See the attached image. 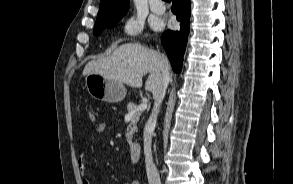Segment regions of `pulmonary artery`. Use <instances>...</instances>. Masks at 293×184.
<instances>
[{
  "label": "pulmonary artery",
  "instance_id": "1",
  "mask_svg": "<svg viewBox=\"0 0 293 184\" xmlns=\"http://www.w3.org/2000/svg\"><path fill=\"white\" fill-rule=\"evenodd\" d=\"M151 11L155 14H163L166 10L165 5L160 0H151L150 1Z\"/></svg>",
  "mask_w": 293,
  "mask_h": 184
}]
</instances>
